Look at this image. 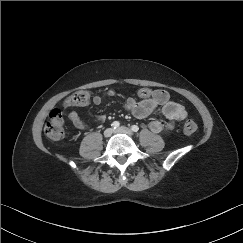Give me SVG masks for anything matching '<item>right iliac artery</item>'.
<instances>
[{
    "instance_id": "obj_1",
    "label": "right iliac artery",
    "mask_w": 243,
    "mask_h": 243,
    "mask_svg": "<svg viewBox=\"0 0 243 243\" xmlns=\"http://www.w3.org/2000/svg\"><path fill=\"white\" fill-rule=\"evenodd\" d=\"M112 128L116 129L120 126V123L118 121H114L112 124H111Z\"/></svg>"
}]
</instances>
